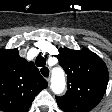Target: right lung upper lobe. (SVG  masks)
Here are the masks:
<instances>
[{"label":"right lung upper lobe","mask_w":112,"mask_h":112,"mask_svg":"<svg viewBox=\"0 0 112 112\" xmlns=\"http://www.w3.org/2000/svg\"><path fill=\"white\" fill-rule=\"evenodd\" d=\"M47 86L34 63L20 57L17 49L0 50V111L27 112Z\"/></svg>","instance_id":"obj_1"}]
</instances>
